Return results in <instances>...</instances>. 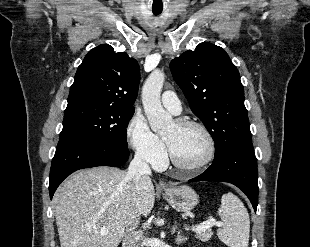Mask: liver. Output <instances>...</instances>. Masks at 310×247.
Instances as JSON below:
<instances>
[{
	"label": "liver",
	"mask_w": 310,
	"mask_h": 247,
	"mask_svg": "<svg viewBox=\"0 0 310 247\" xmlns=\"http://www.w3.org/2000/svg\"><path fill=\"white\" fill-rule=\"evenodd\" d=\"M155 202L149 176L136 185L110 167L79 170L55 192L53 204L61 247H118L134 213L147 216ZM108 231L102 235L100 232Z\"/></svg>",
	"instance_id": "obj_1"
}]
</instances>
